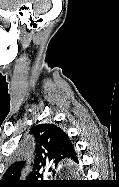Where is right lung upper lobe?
I'll return each instance as SVG.
<instances>
[{
  "mask_svg": "<svg viewBox=\"0 0 119 187\" xmlns=\"http://www.w3.org/2000/svg\"><path fill=\"white\" fill-rule=\"evenodd\" d=\"M31 132L34 133L37 140L36 152V170L41 172V167L45 163L58 161L65 157H73L74 148L63 130L53 124H41L33 127ZM20 166L13 165L7 170V175L17 176Z\"/></svg>",
  "mask_w": 119,
  "mask_h": 187,
  "instance_id": "1",
  "label": "right lung upper lobe"
}]
</instances>
